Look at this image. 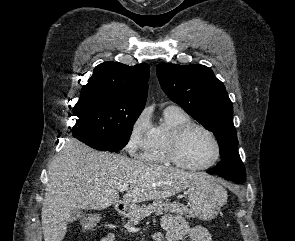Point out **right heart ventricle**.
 Returning <instances> with one entry per match:
<instances>
[{"label": "right heart ventricle", "instance_id": "1", "mask_svg": "<svg viewBox=\"0 0 295 241\" xmlns=\"http://www.w3.org/2000/svg\"><path fill=\"white\" fill-rule=\"evenodd\" d=\"M192 122L191 117L177 106L164 110V119L152 126L149 141L140 157L152 163H168L166 145L171 133L179 126Z\"/></svg>", "mask_w": 295, "mask_h": 241}]
</instances>
